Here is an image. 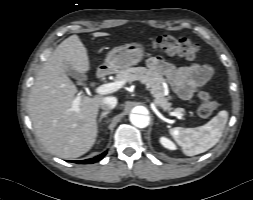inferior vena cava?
<instances>
[{
    "instance_id": "1",
    "label": "inferior vena cava",
    "mask_w": 253,
    "mask_h": 200,
    "mask_svg": "<svg viewBox=\"0 0 253 200\" xmlns=\"http://www.w3.org/2000/svg\"><path fill=\"white\" fill-rule=\"evenodd\" d=\"M116 105H117V98L112 96L104 97L100 104L103 110L113 109Z\"/></svg>"
}]
</instances>
